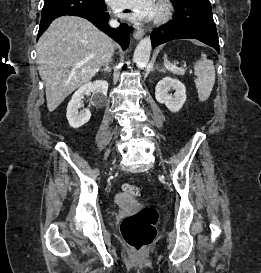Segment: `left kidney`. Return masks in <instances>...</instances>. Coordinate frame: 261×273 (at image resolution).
Here are the masks:
<instances>
[{"label": "left kidney", "mask_w": 261, "mask_h": 273, "mask_svg": "<svg viewBox=\"0 0 261 273\" xmlns=\"http://www.w3.org/2000/svg\"><path fill=\"white\" fill-rule=\"evenodd\" d=\"M175 90L174 95L169 94V90ZM186 88L178 79L164 77L155 88V98L158 103L165 104L171 112H178L186 101Z\"/></svg>", "instance_id": "obj_1"}]
</instances>
